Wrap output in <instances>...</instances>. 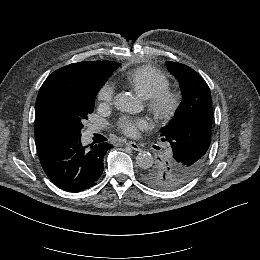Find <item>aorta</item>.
<instances>
[{"label": "aorta", "mask_w": 260, "mask_h": 260, "mask_svg": "<svg viewBox=\"0 0 260 260\" xmlns=\"http://www.w3.org/2000/svg\"><path fill=\"white\" fill-rule=\"evenodd\" d=\"M114 104L120 111L125 112L137 111L140 108L137 98L129 92H121L117 94L115 96ZM136 163L140 168L146 169L152 166L154 158L149 152H141L136 156Z\"/></svg>", "instance_id": "aorta-1"}]
</instances>
